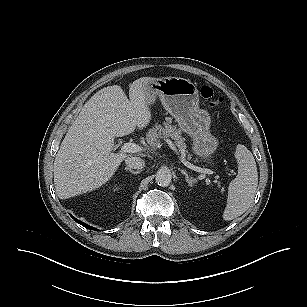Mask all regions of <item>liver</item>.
Wrapping results in <instances>:
<instances>
[{"label":"liver","mask_w":307,"mask_h":307,"mask_svg":"<svg viewBox=\"0 0 307 307\" xmlns=\"http://www.w3.org/2000/svg\"><path fill=\"white\" fill-rule=\"evenodd\" d=\"M135 80L129 99L119 85L104 87L83 106L54 161V183L59 198L67 199L105 184L116 172L125 153H113L114 138L145 127L151 120L147 83Z\"/></svg>","instance_id":"liver-1"}]
</instances>
